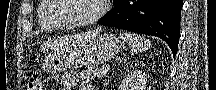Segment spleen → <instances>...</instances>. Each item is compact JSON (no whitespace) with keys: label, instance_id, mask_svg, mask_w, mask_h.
<instances>
[{"label":"spleen","instance_id":"obj_1","mask_svg":"<svg viewBox=\"0 0 216 90\" xmlns=\"http://www.w3.org/2000/svg\"><path fill=\"white\" fill-rule=\"evenodd\" d=\"M120 38L129 44V48H131V52H134V54L146 52V50H150L151 48V42L146 40V38H143V36H138V34L122 32V34H120Z\"/></svg>","mask_w":216,"mask_h":90}]
</instances>
